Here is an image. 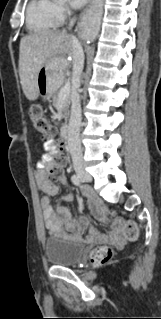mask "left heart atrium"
I'll list each match as a JSON object with an SVG mask.
<instances>
[{
  "label": "left heart atrium",
  "mask_w": 161,
  "mask_h": 319,
  "mask_svg": "<svg viewBox=\"0 0 161 319\" xmlns=\"http://www.w3.org/2000/svg\"><path fill=\"white\" fill-rule=\"evenodd\" d=\"M86 2L87 0H69L70 5L74 8H79L83 6Z\"/></svg>",
  "instance_id": "1"
}]
</instances>
